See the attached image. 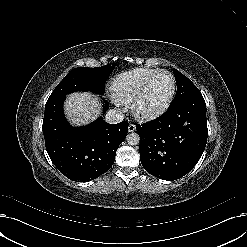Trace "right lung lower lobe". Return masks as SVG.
Returning a JSON list of instances; mask_svg holds the SVG:
<instances>
[{
  "label": "right lung lower lobe",
  "mask_w": 247,
  "mask_h": 247,
  "mask_svg": "<svg viewBox=\"0 0 247 247\" xmlns=\"http://www.w3.org/2000/svg\"><path fill=\"white\" fill-rule=\"evenodd\" d=\"M64 100L65 97L48 100L45 105L43 134L47 153L70 180L96 179L113 165L129 124L127 121L109 124L100 117L90 125L74 128L64 117Z\"/></svg>",
  "instance_id": "98d812e1"
}]
</instances>
